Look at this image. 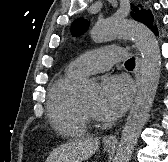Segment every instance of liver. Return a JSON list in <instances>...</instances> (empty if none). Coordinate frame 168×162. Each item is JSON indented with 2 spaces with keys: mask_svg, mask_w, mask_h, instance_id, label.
I'll list each match as a JSON object with an SVG mask.
<instances>
[{
  "mask_svg": "<svg viewBox=\"0 0 168 162\" xmlns=\"http://www.w3.org/2000/svg\"><path fill=\"white\" fill-rule=\"evenodd\" d=\"M99 145L98 138L75 139L55 148L46 162H82L89 159L99 149Z\"/></svg>",
  "mask_w": 168,
  "mask_h": 162,
  "instance_id": "obj_1",
  "label": "liver"
}]
</instances>
